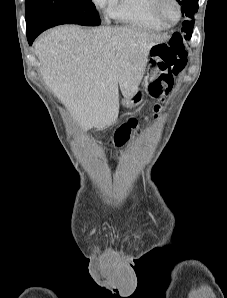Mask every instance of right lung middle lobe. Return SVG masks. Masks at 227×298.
Here are the masks:
<instances>
[{"instance_id":"right-lung-middle-lobe-1","label":"right lung middle lobe","mask_w":227,"mask_h":298,"mask_svg":"<svg viewBox=\"0 0 227 298\" xmlns=\"http://www.w3.org/2000/svg\"><path fill=\"white\" fill-rule=\"evenodd\" d=\"M25 15L27 34L60 24H100L91 0H26Z\"/></svg>"}]
</instances>
